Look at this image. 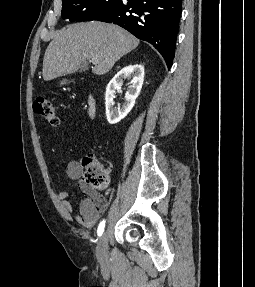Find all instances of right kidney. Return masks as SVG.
Wrapping results in <instances>:
<instances>
[{
	"label": "right kidney",
	"mask_w": 255,
	"mask_h": 287,
	"mask_svg": "<svg viewBox=\"0 0 255 287\" xmlns=\"http://www.w3.org/2000/svg\"><path fill=\"white\" fill-rule=\"evenodd\" d=\"M124 80H131L132 86H130L128 92L125 94V102L123 106L114 108V94L115 90H118L122 86ZM144 82V68L141 64H135V66H125L122 68L111 82H109L106 88L105 104H106V116L109 124H117L120 120H123L130 110H132L136 98L140 94L142 84Z\"/></svg>",
	"instance_id": "obj_1"
}]
</instances>
